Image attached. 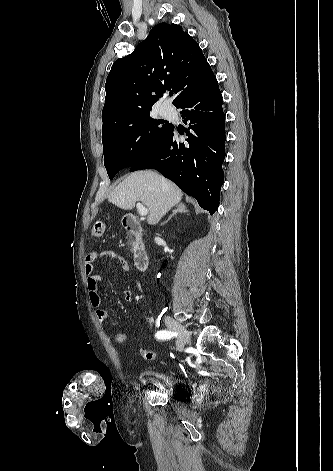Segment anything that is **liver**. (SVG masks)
<instances>
[{"label": "liver", "mask_w": 333, "mask_h": 471, "mask_svg": "<svg viewBox=\"0 0 333 471\" xmlns=\"http://www.w3.org/2000/svg\"><path fill=\"white\" fill-rule=\"evenodd\" d=\"M182 191L154 171H138L127 176L108 195V201L124 210H132L137 201L148 208L147 223L157 224L182 199Z\"/></svg>", "instance_id": "1"}]
</instances>
